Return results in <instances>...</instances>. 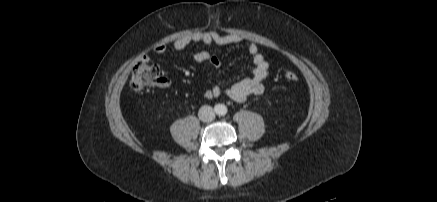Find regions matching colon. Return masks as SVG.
I'll return each mask as SVG.
<instances>
[{
    "instance_id": "5ec220e1",
    "label": "colon",
    "mask_w": 437,
    "mask_h": 202,
    "mask_svg": "<svg viewBox=\"0 0 437 202\" xmlns=\"http://www.w3.org/2000/svg\"><path fill=\"white\" fill-rule=\"evenodd\" d=\"M284 78L294 82L298 80V75L292 71H286ZM165 78L157 65L149 64L145 61L135 65L130 79V86L134 91H142L150 87L163 85Z\"/></svg>"
}]
</instances>
